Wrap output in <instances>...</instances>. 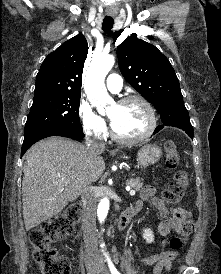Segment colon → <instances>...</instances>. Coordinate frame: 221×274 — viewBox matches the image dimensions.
I'll return each mask as SVG.
<instances>
[{"label":"colon","mask_w":221,"mask_h":274,"mask_svg":"<svg viewBox=\"0 0 221 274\" xmlns=\"http://www.w3.org/2000/svg\"><path fill=\"white\" fill-rule=\"evenodd\" d=\"M166 153V167L173 173V180L163 193V199L167 203H177L185 195L188 176L187 173L178 168L179 151L176 144L168 140L164 144ZM81 217V207L78 204L70 205L61 214L42 223L30 232L29 240L33 246V258L37 263L41 274H70L71 266L69 260L58 255L53 243L59 239L70 236ZM193 229L191 219L188 217L184 226L182 236H174L169 245L172 250L182 247L183 237L189 235Z\"/></svg>","instance_id":"colon-1"}]
</instances>
